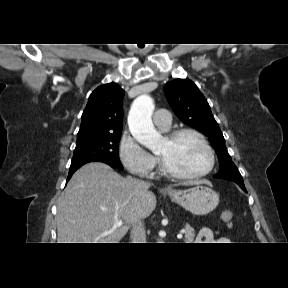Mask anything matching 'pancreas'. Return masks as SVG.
Masks as SVG:
<instances>
[{
	"label": "pancreas",
	"mask_w": 288,
	"mask_h": 288,
	"mask_svg": "<svg viewBox=\"0 0 288 288\" xmlns=\"http://www.w3.org/2000/svg\"><path fill=\"white\" fill-rule=\"evenodd\" d=\"M184 234H185V243H192L195 237L194 234V229L190 226H186L184 229Z\"/></svg>",
	"instance_id": "1"
}]
</instances>
